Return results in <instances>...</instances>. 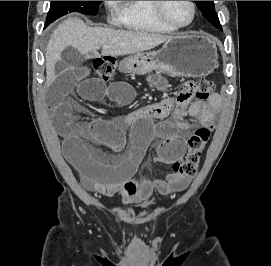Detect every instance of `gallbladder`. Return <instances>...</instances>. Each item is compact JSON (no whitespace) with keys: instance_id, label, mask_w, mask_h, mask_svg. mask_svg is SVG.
<instances>
[{"instance_id":"bac80fb5","label":"gallbladder","mask_w":271,"mask_h":266,"mask_svg":"<svg viewBox=\"0 0 271 266\" xmlns=\"http://www.w3.org/2000/svg\"><path fill=\"white\" fill-rule=\"evenodd\" d=\"M85 57L74 47H67L55 65L56 74L63 76L67 70L81 65Z\"/></svg>"}]
</instances>
